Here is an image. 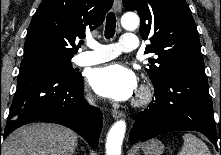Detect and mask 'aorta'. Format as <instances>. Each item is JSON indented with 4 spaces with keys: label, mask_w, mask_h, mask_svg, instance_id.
<instances>
[{
    "label": "aorta",
    "mask_w": 221,
    "mask_h": 155,
    "mask_svg": "<svg viewBox=\"0 0 221 155\" xmlns=\"http://www.w3.org/2000/svg\"><path fill=\"white\" fill-rule=\"evenodd\" d=\"M121 23L126 30H134L139 26V18L135 14H126L122 17ZM125 131L126 123L124 120H119L113 124L107 135V155H121V146Z\"/></svg>",
    "instance_id": "aorta-1"
}]
</instances>
